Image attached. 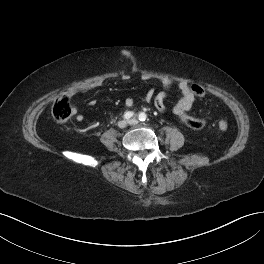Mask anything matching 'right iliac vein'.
I'll return each mask as SVG.
<instances>
[{
  "instance_id": "obj_1",
  "label": "right iliac vein",
  "mask_w": 264,
  "mask_h": 264,
  "mask_svg": "<svg viewBox=\"0 0 264 264\" xmlns=\"http://www.w3.org/2000/svg\"><path fill=\"white\" fill-rule=\"evenodd\" d=\"M126 126H127V121H125V120H121V121L118 122V127H119V128L123 129V128H125Z\"/></svg>"
}]
</instances>
